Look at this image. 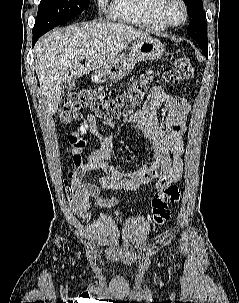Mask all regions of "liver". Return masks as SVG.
Returning a JSON list of instances; mask_svg holds the SVG:
<instances>
[{"label":"liver","mask_w":239,"mask_h":303,"mask_svg":"<svg viewBox=\"0 0 239 303\" xmlns=\"http://www.w3.org/2000/svg\"><path fill=\"white\" fill-rule=\"evenodd\" d=\"M147 36L123 23L99 21L53 29L41 37L34 49L35 71L49 114L57 111L65 81L114 62L132 41Z\"/></svg>","instance_id":"obj_1"}]
</instances>
